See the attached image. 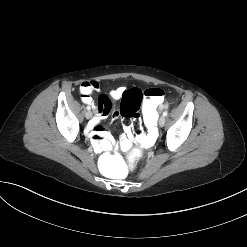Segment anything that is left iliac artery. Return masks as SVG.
<instances>
[{
  "label": "left iliac artery",
  "mask_w": 247,
  "mask_h": 247,
  "mask_svg": "<svg viewBox=\"0 0 247 247\" xmlns=\"http://www.w3.org/2000/svg\"><path fill=\"white\" fill-rule=\"evenodd\" d=\"M168 115V112L167 111H164L163 112V116L165 117V116H167Z\"/></svg>",
  "instance_id": "1"
}]
</instances>
